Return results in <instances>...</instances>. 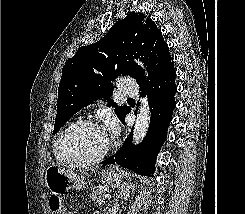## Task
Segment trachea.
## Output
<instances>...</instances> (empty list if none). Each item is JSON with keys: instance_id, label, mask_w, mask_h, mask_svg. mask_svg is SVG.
Wrapping results in <instances>:
<instances>
[{"instance_id": "1", "label": "trachea", "mask_w": 245, "mask_h": 214, "mask_svg": "<svg viewBox=\"0 0 245 214\" xmlns=\"http://www.w3.org/2000/svg\"><path fill=\"white\" fill-rule=\"evenodd\" d=\"M128 100H132V98H128Z\"/></svg>"}]
</instances>
